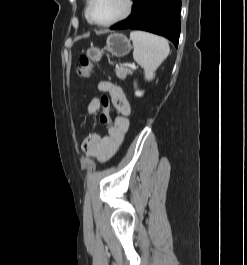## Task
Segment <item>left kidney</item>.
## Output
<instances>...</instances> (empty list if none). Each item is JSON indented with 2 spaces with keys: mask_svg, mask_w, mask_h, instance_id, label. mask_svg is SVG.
Listing matches in <instances>:
<instances>
[{
  "mask_svg": "<svg viewBox=\"0 0 247 265\" xmlns=\"http://www.w3.org/2000/svg\"><path fill=\"white\" fill-rule=\"evenodd\" d=\"M135 86H136V84H135ZM135 95L137 97H141L143 95V91L136 90Z\"/></svg>",
  "mask_w": 247,
  "mask_h": 265,
  "instance_id": "1",
  "label": "left kidney"
}]
</instances>
